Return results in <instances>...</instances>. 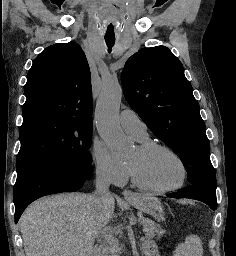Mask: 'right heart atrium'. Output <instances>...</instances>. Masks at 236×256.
I'll use <instances>...</instances> for the list:
<instances>
[{"instance_id": "obj_1", "label": "right heart atrium", "mask_w": 236, "mask_h": 256, "mask_svg": "<svg viewBox=\"0 0 236 256\" xmlns=\"http://www.w3.org/2000/svg\"><path fill=\"white\" fill-rule=\"evenodd\" d=\"M91 154L96 174L100 179L117 187L127 184L130 178L128 166L116 161L103 142L95 140Z\"/></svg>"}]
</instances>
